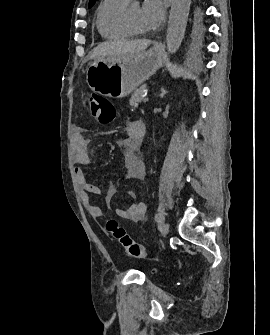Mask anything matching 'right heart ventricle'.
Segmentation results:
<instances>
[{
  "mask_svg": "<svg viewBox=\"0 0 270 335\" xmlns=\"http://www.w3.org/2000/svg\"><path fill=\"white\" fill-rule=\"evenodd\" d=\"M126 3L127 1L123 0H103L99 4L96 11V28L102 37L109 40H120L133 36L122 21V9Z\"/></svg>",
  "mask_w": 270,
  "mask_h": 335,
  "instance_id": "right-heart-ventricle-1",
  "label": "right heart ventricle"
}]
</instances>
